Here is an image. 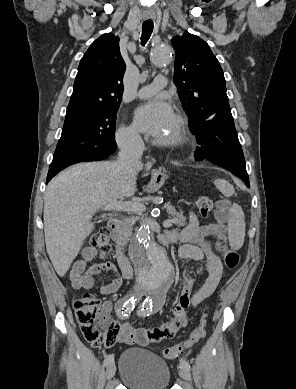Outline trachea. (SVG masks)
Wrapping results in <instances>:
<instances>
[{"mask_svg": "<svg viewBox=\"0 0 296 389\" xmlns=\"http://www.w3.org/2000/svg\"><path fill=\"white\" fill-rule=\"evenodd\" d=\"M153 32V22H143L142 24V35H141V45L144 46L149 40Z\"/></svg>", "mask_w": 296, "mask_h": 389, "instance_id": "1", "label": "trachea"}]
</instances>
